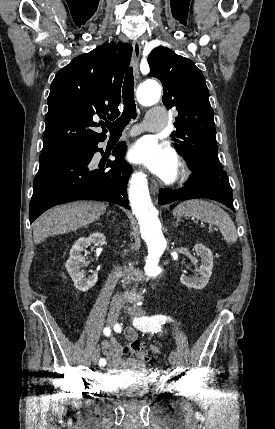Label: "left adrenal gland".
I'll use <instances>...</instances> for the list:
<instances>
[{
  "instance_id": "1",
  "label": "left adrenal gland",
  "mask_w": 275,
  "mask_h": 429,
  "mask_svg": "<svg viewBox=\"0 0 275 429\" xmlns=\"http://www.w3.org/2000/svg\"><path fill=\"white\" fill-rule=\"evenodd\" d=\"M173 226H174V227H177V226H179V223H178V221H175V222L173 223Z\"/></svg>"
}]
</instances>
